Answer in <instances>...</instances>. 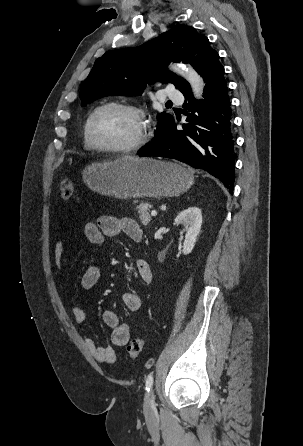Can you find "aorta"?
Segmentation results:
<instances>
[{
    "label": "aorta",
    "mask_w": 303,
    "mask_h": 446,
    "mask_svg": "<svg viewBox=\"0 0 303 446\" xmlns=\"http://www.w3.org/2000/svg\"><path fill=\"white\" fill-rule=\"evenodd\" d=\"M171 70L183 76L191 85L196 98H200L203 92L204 82L200 75L190 66L174 65Z\"/></svg>",
    "instance_id": "1"
}]
</instances>
